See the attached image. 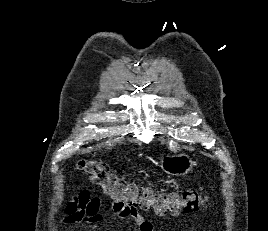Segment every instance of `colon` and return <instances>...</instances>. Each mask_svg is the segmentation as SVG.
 <instances>
[{
	"label": "colon",
	"mask_w": 268,
	"mask_h": 231,
	"mask_svg": "<svg viewBox=\"0 0 268 231\" xmlns=\"http://www.w3.org/2000/svg\"><path fill=\"white\" fill-rule=\"evenodd\" d=\"M79 167L120 208L138 206L143 209L152 208L158 213L179 215L182 212H197L208 201L206 196L196 191L164 192L126 182L111 173L109 167L100 161L82 160Z\"/></svg>",
	"instance_id": "colon-1"
}]
</instances>
